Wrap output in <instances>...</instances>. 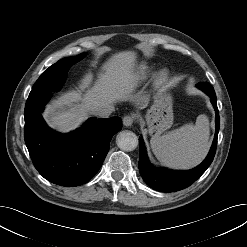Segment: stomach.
Masks as SVG:
<instances>
[{
    "mask_svg": "<svg viewBox=\"0 0 247 247\" xmlns=\"http://www.w3.org/2000/svg\"><path fill=\"white\" fill-rule=\"evenodd\" d=\"M173 97L166 88L158 89L153 96V104L147 110L145 121L150 134H161L173 123Z\"/></svg>",
    "mask_w": 247,
    "mask_h": 247,
    "instance_id": "stomach-1",
    "label": "stomach"
}]
</instances>
